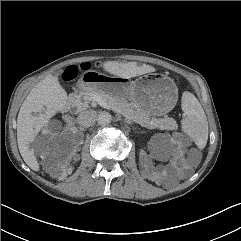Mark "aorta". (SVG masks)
Returning <instances> with one entry per match:
<instances>
[{
  "label": "aorta",
  "instance_id": "1",
  "mask_svg": "<svg viewBox=\"0 0 241 241\" xmlns=\"http://www.w3.org/2000/svg\"><path fill=\"white\" fill-rule=\"evenodd\" d=\"M96 120L100 126H107L111 123L112 116L109 112L102 111L97 115Z\"/></svg>",
  "mask_w": 241,
  "mask_h": 241
}]
</instances>
